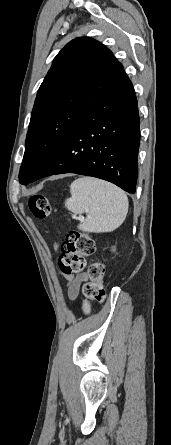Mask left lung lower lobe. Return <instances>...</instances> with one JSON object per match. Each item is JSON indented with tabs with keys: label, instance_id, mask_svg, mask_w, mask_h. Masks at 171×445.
I'll use <instances>...</instances> for the list:
<instances>
[{
	"label": "left lung lower lobe",
	"instance_id": "obj_1",
	"mask_svg": "<svg viewBox=\"0 0 171 445\" xmlns=\"http://www.w3.org/2000/svg\"><path fill=\"white\" fill-rule=\"evenodd\" d=\"M139 123L137 99L128 79L89 108L45 164L23 184L50 175L76 173L104 179L135 193Z\"/></svg>",
	"mask_w": 171,
	"mask_h": 445
}]
</instances>
